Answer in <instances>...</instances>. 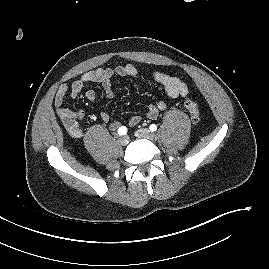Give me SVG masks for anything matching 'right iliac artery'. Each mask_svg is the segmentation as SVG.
Instances as JSON below:
<instances>
[{"label": "right iliac artery", "instance_id": "obj_1", "mask_svg": "<svg viewBox=\"0 0 269 269\" xmlns=\"http://www.w3.org/2000/svg\"><path fill=\"white\" fill-rule=\"evenodd\" d=\"M117 132L119 135H125L127 133V128L125 126H122L118 129Z\"/></svg>", "mask_w": 269, "mask_h": 269}]
</instances>
